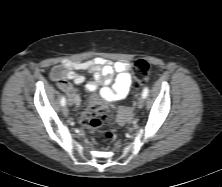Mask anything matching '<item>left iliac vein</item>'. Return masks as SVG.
Instances as JSON below:
<instances>
[{
    "mask_svg": "<svg viewBox=\"0 0 222 187\" xmlns=\"http://www.w3.org/2000/svg\"><path fill=\"white\" fill-rule=\"evenodd\" d=\"M144 102H145V98L143 96L140 97L139 100H138V103H137V106H138L139 109L143 108Z\"/></svg>",
    "mask_w": 222,
    "mask_h": 187,
    "instance_id": "obj_1",
    "label": "left iliac vein"
}]
</instances>
